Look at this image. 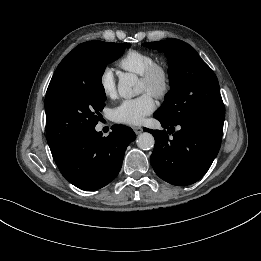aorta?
I'll return each mask as SVG.
<instances>
[{"label":"aorta","mask_w":261,"mask_h":261,"mask_svg":"<svg viewBox=\"0 0 261 261\" xmlns=\"http://www.w3.org/2000/svg\"><path fill=\"white\" fill-rule=\"evenodd\" d=\"M141 84L138 77L132 73H124L118 82V92L124 98H131L141 93ZM137 146L142 150L154 147L155 140L152 134L143 132L137 137Z\"/></svg>","instance_id":"1"}]
</instances>
